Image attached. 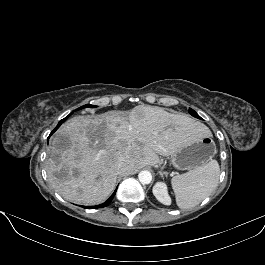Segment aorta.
Masks as SVG:
<instances>
[{
    "mask_svg": "<svg viewBox=\"0 0 265 265\" xmlns=\"http://www.w3.org/2000/svg\"><path fill=\"white\" fill-rule=\"evenodd\" d=\"M138 179L142 184H149L152 181V174L147 170H143L138 174Z\"/></svg>",
    "mask_w": 265,
    "mask_h": 265,
    "instance_id": "1",
    "label": "aorta"
}]
</instances>
